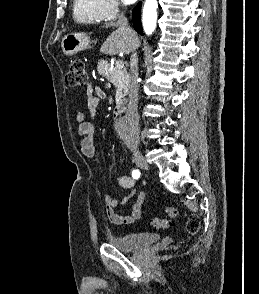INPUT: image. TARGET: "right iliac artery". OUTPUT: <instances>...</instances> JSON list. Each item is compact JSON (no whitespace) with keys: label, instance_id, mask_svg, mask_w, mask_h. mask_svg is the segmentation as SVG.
Masks as SVG:
<instances>
[{"label":"right iliac artery","instance_id":"obj_1","mask_svg":"<svg viewBox=\"0 0 259 294\" xmlns=\"http://www.w3.org/2000/svg\"><path fill=\"white\" fill-rule=\"evenodd\" d=\"M140 171L138 169H133L132 170V176L134 179H138L140 177Z\"/></svg>","mask_w":259,"mask_h":294}]
</instances>
